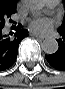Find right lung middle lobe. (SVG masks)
I'll return each mask as SVG.
<instances>
[{"label": "right lung middle lobe", "mask_w": 65, "mask_h": 89, "mask_svg": "<svg viewBox=\"0 0 65 89\" xmlns=\"http://www.w3.org/2000/svg\"><path fill=\"white\" fill-rule=\"evenodd\" d=\"M17 3L9 0H0V29L4 27L5 21L16 12ZM11 21V20H10Z\"/></svg>", "instance_id": "right-lung-middle-lobe-1"}]
</instances>
